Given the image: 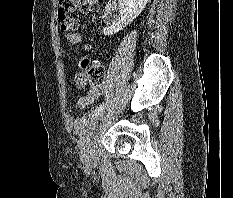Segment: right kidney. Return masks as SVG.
Returning <instances> with one entry per match:
<instances>
[{"label": "right kidney", "mask_w": 233, "mask_h": 198, "mask_svg": "<svg viewBox=\"0 0 233 198\" xmlns=\"http://www.w3.org/2000/svg\"><path fill=\"white\" fill-rule=\"evenodd\" d=\"M149 0H118L120 19L114 25L103 29L104 35H113L125 28L145 8Z\"/></svg>", "instance_id": "obj_1"}]
</instances>
